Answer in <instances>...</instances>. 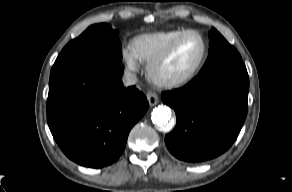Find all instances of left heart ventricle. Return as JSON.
<instances>
[{
  "instance_id": "b2bd125f",
  "label": "left heart ventricle",
  "mask_w": 292,
  "mask_h": 192,
  "mask_svg": "<svg viewBox=\"0 0 292 192\" xmlns=\"http://www.w3.org/2000/svg\"><path fill=\"white\" fill-rule=\"evenodd\" d=\"M203 44L197 35H189L181 41L172 56L161 69L165 77H180L190 72L201 58Z\"/></svg>"
}]
</instances>
